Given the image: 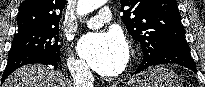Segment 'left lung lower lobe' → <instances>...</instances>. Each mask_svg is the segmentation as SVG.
Instances as JSON below:
<instances>
[{
	"label": "left lung lower lobe",
	"instance_id": "1",
	"mask_svg": "<svg viewBox=\"0 0 205 87\" xmlns=\"http://www.w3.org/2000/svg\"><path fill=\"white\" fill-rule=\"evenodd\" d=\"M166 63H176L196 73V65L190 55V48L184 36L177 37L166 43L160 55L153 61H142L135 73L153 65Z\"/></svg>",
	"mask_w": 205,
	"mask_h": 87
}]
</instances>
